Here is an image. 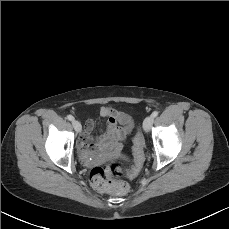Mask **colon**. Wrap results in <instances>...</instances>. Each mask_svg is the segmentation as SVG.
Masks as SVG:
<instances>
[{
    "label": "colon",
    "mask_w": 229,
    "mask_h": 229,
    "mask_svg": "<svg viewBox=\"0 0 229 229\" xmlns=\"http://www.w3.org/2000/svg\"><path fill=\"white\" fill-rule=\"evenodd\" d=\"M144 140L137 136L134 140V154L136 157V168L143 160ZM122 174V168L119 162H113L110 165L98 166L91 170L90 181L94 188L99 191L109 192L117 196H125L129 192L128 184L119 180Z\"/></svg>",
    "instance_id": "5ec220e1"
}]
</instances>
